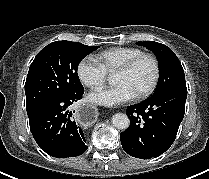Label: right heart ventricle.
Masks as SVG:
<instances>
[{
	"instance_id": "e07e8e85",
	"label": "right heart ventricle",
	"mask_w": 209,
	"mask_h": 179,
	"mask_svg": "<svg viewBox=\"0 0 209 179\" xmlns=\"http://www.w3.org/2000/svg\"><path fill=\"white\" fill-rule=\"evenodd\" d=\"M141 53L143 51L136 47H113L100 52L96 56V60L107 74H112Z\"/></svg>"
}]
</instances>
